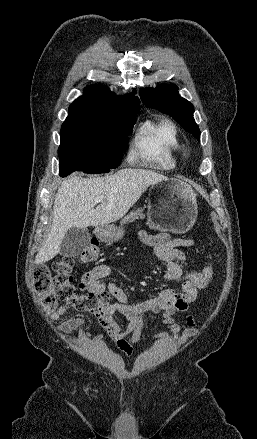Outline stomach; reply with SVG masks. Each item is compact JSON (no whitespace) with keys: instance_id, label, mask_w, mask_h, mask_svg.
Returning <instances> with one entry per match:
<instances>
[{"instance_id":"0dacf381","label":"stomach","mask_w":257,"mask_h":439,"mask_svg":"<svg viewBox=\"0 0 257 439\" xmlns=\"http://www.w3.org/2000/svg\"><path fill=\"white\" fill-rule=\"evenodd\" d=\"M148 221L151 227L184 233L195 224L198 206L196 194L186 182L166 178L152 184L149 190ZM124 229L101 226L96 235L104 242H113L124 236Z\"/></svg>"}]
</instances>
